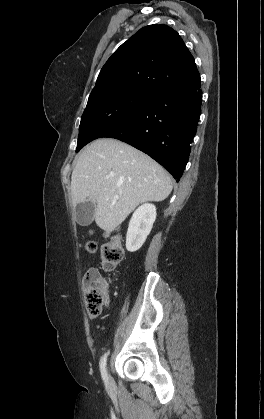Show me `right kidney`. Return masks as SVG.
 <instances>
[{
    "instance_id": "1",
    "label": "right kidney",
    "mask_w": 264,
    "mask_h": 419,
    "mask_svg": "<svg viewBox=\"0 0 264 419\" xmlns=\"http://www.w3.org/2000/svg\"><path fill=\"white\" fill-rule=\"evenodd\" d=\"M156 219V207L145 203L139 206L132 215L126 236V249L135 252L145 242Z\"/></svg>"
}]
</instances>
